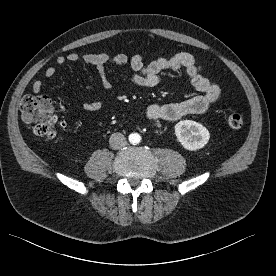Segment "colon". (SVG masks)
I'll use <instances>...</instances> for the list:
<instances>
[{
    "label": "colon",
    "mask_w": 276,
    "mask_h": 276,
    "mask_svg": "<svg viewBox=\"0 0 276 276\" xmlns=\"http://www.w3.org/2000/svg\"><path fill=\"white\" fill-rule=\"evenodd\" d=\"M21 118L39 137L49 141H60V124L54 112L51 98L39 93L25 96L20 105ZM244 124L243 115L239 112H231L227 116V125L230 129L238 130Z\"/></svg>",
    "instance_id": "colon-1"
}]
</instances>
